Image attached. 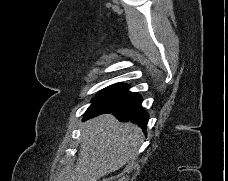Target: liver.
I'll list each match as a JSON object with an SVG mask.
<instances>
[{"label": "liver", "mask_w": 228, "mask_h": 181, "mask_svg": "<svg viewBox=\"0 0 228 181\" xmlns=\"http://www.w3.org/2000/svg\"><path fill=\"white\" fill-rule=\"evenodd\" d=\"M142 129L119 123L113 115H100L82 123L81 145L75 169H62L57 181H100L136 159L143 143Z\"/></svg>", "instance_id": "6515ba94"}]
</instances>
